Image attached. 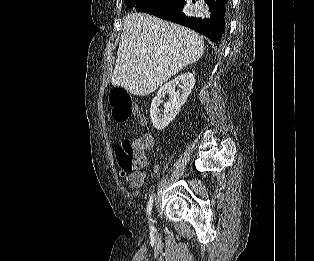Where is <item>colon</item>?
<instances>
[{"label": "colon", "instance_id": "obj_1", "mask_svg": "<svg viewBox=\"0 0 314 261\" xmlns=\"http://www.w3.org/2000/svg\"><path fill=\"white\" fill-rule=\"evenodd\" d=\"M109 102L112 107V117L117 122H126L137 112V104L124 88H114L110 91ZM152 145L150 136L126 138L116 148L117 162L121 174L131 185H138L143 175L137 171L143 154Z\"/></svg>", "mask_w": 314, "mask_h": 261}]
</instances>
